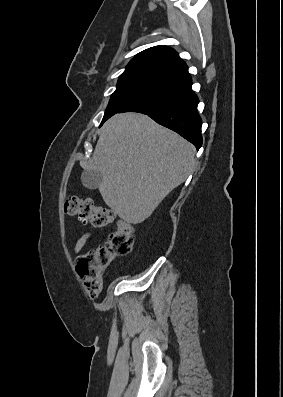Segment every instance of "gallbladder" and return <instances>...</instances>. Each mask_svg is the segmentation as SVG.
I'll return each mask as SVG.
<instances>
[{"instance_id": "gallbladder-1", "label": "gallbladder", "mask_w": 283, "mask_h": 397, "mask_svg": "<svg viewBox=\"0 0 283 397\" xmlns=\"http://www.w3.org/2000/svg\"><path fill=\"white\" fill-rule=\"evenodd\" d=\"M102 178V173L96 170H85L81 174L83 186L92 190L98 188Z\"/></svg>"}]
</instances>
